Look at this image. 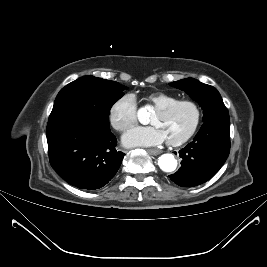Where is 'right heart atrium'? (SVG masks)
<instances>
[{"label": "right heart atrium", "mask_w": 267, "mask_h": 267, "mask_svg": "<svg viewBox=\"0 0 267 267\" xmlns=\"http://www.w3.org/2000/svg\"><path fill=\"white\" fill-rule=\"evenodd\" d=\"M138 106L131 93L117 98L109 108V121L114 129L125 132L137 123Z\"/></svg>", "instance_id": "1"}]
</instances>
